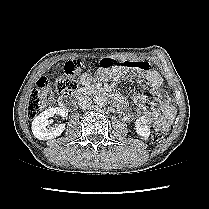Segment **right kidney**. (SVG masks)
I'll return each mask as SVG.
<instances>
[{
    "instance_id": "right-kidney-1",
    "label": "right kidney",
    "mask_w": 209,
    "mask_h": 209,
    "mask_svg": "<svg viewBox=\"0 0 209 209\" xmlns=\"http://www.w3.org/2000/svg\"><path fill=\"white\" fill-rule=\"evenodd\" d=\"M59 115L63 118L67 117L68 110L63 107L49 108L40 113L32 122L33 135L39 140H49L60 136L64 129V124H58L56 126L47 128L50 124L49 118Z\"/></svg>"
}]
</instances>
